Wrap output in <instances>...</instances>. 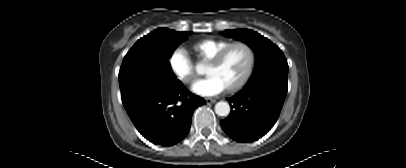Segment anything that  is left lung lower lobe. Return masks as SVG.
<instances>
[{
    "label": "left lung lower lobe",
    "instance_id": "1",
    "mask_svg": "<svg viewBox=\"0 0 406 168\" xmlns=\"http://www.w3.org/2000/svg\"><path fill=\"white\" fill-rule=\"evenodd\" d=\"M287 94V84L264 81L247 84L228 101L229 116L220 122L225 133L237 142L258 140L273 127Z\"/></svg>",
    "mask_w": 406,
    "mask_h": 168
}]
</instances>
